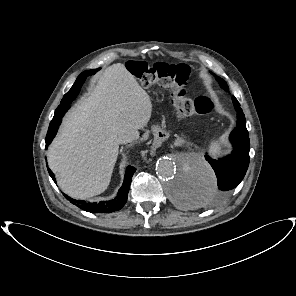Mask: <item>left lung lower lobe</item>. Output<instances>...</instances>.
<instances>
[{
  "instance_id": "0a47b994",
  "label": "left lung lower lobe",
  "mask_w": 296,
  "mask_h": 296,
  "mask_svg": "<svg viewBox=\"0 0 296 296\" xmlns=\"http://www.w3.org/2000/svg\"><path fill=\"white\" fill-rule=\"evenodd\" d=\"M232 99L238 119L235 129L230 134L233 151L227 157L218 160L211 159L208 155L205 156L216 173L218 187L209 194L198 193L193 188L188 177H183L180 184L184 186L186 192L183 194L178 187L177 193L182 194L185 205H204L213 200H219L230 190L236 188L246 174L250 158V140L246 129L245 116L240 104L234 96Z\"/></svg>"
}]
</instances>
